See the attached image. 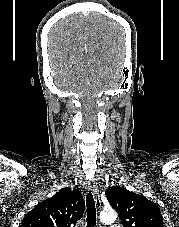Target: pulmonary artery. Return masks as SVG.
Wrapping results in <instances>:
<instances>
[{
    "label": "pulmonary artery",
    "instance_id": "e3ab8cb5",
    "mask_svg": "<svg viewBox=\"0 0 179 227\" xmlns=\"http://www.w3.org/2000/svg\"><path fill=\"white\" fill-rule=\"evenodd\" d=\"M109 227H121L119 224H111Z\"/></svg>",
    "mask_w": 179,
    "mask_h": 227
}]
</instances>
